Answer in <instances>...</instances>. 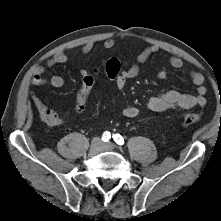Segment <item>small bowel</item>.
<instances>
[{
  "label": "small bowel",
  "mask_w": 221,
  "mask_h": 221,
  "mask_svg": "<svg viewBox=\"0 0 221 221\" xmlns=\"http://www.w3.org/2000/svg\"><path fill=\"white\" fill-rule=\"evenodd\" d=\"M114 46L115 41L112 38L106 39L103 42L104 49L109 50ZM92 48L93 44L87 43L81 48V52L87 54L92 50ZM158 51L159 48L156 45H150L141 50L137 55L136 63L134 65L126 69H121L120 75L114 80L116 86L119 89L125 88L129 79L135 78L140 74L141 65ZM68 59L69 54L64 51H60L50 58L45 65L36 67L34 69V75L30 81L31 85L35 87L45 85H49L54 88L62 87L64 85V79L61 76L54 75L50 78H45L43 77V74L47 69H50L57 64L65 63ZM169 63L175 69H181L184 66L183 61L176 56L170 57ZM80 74L83 79L89 73L87 70L82 69ZM157 77L159 79H167L168 73L165 69H161L157 72ZM190 77L195 85L194 94L185 93L179 90H169L151 97L147 102V109L155 112H162L171 109L185 111L195 106H204L206 104L207 93V89L204 86V77L198 71H190ZM31 100L40 118L47 124L51 126H59L63 125L67 121L69 117L68 113L59 115L54 110L48 108L36 94L31 93ZM123 115L127 118H135L139 115V109L135 106H127L123 110Z\"/></svg>",
  "instance_id": "obj_1"
}]
</instances>
